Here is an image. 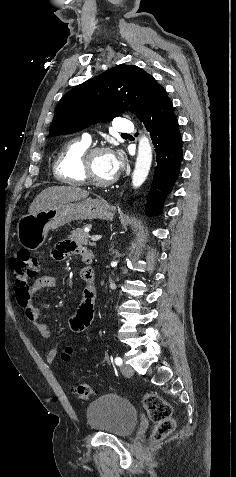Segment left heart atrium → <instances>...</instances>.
Masks as SVG:
<instances>
[{
    "label": "left heart atrium",
    "mask_w": 236,
    "mask_h": 477,
    "mask_svg": "<svg viewBox=\"0 0 236 477\" xmlns=\"http://www.w3.org/2000/svg\"><path fill=\"white\" fill-rule=\"evenodd\" d=\"M122 168V160L118 154L110 153V170L113 177H115Z\"/></svg>",
    "instance_id": "left-heart-atrium-1"
}]
</instances>
